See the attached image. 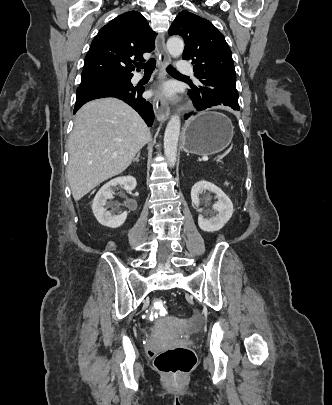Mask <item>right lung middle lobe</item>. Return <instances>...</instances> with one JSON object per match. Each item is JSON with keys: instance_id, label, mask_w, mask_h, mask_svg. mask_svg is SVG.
<instances>
[{"instance_id": "obj_1", "label": "right lung middle lobe", "mask_w": 332, "mask_h": 405, "mask_svg": "<svg viewBox=\"0 0 332 405\" xmlns=\"http://www.w3.org/2000/svg\"><path fill=\"white\" fill-rule=\"evenodd\" d=\"M132 77L120 76V75H96V76H84L81 79L80 85H85L93 82H116V83H127L130 82Z\"/></svg>"}]
</instances>
